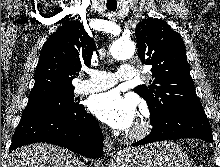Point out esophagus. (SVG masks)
<instances>
[{
  "label": "esophagus",
  "instance_id": "1",
  "mask_svg": "<svg viewBox=\"0 0 220 167\" xmlns=\"http://www.w3.org/2000/svg\"><path fill=\"white\" fill-rule=\"evenodd\" d=\"M104 153L109 157H116L114 142L108 135L104 139Z\"/></svg>",
  "mask_w": 220,
  "mask_h": 167
}]
</instances>
